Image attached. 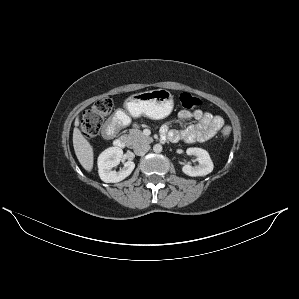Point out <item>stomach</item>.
Instances as JSON below:
<instances>
[{
    "instance_id": "stomach-1",
    "label": "stomach",
    "mask_w": 299,
    "mask_h": 299,
    "mask_svg": "<svg viewBox=\"0 0 299 299\" xmlns=\"http://www.w3.org/2000/svg\"><path fill=\"white\" fill-rule=\"evenodd\" d=\"M125 108L133 117L146 115L151 119H163L173 109V96L166 89H155L130 96Z\"/></svg>"
}]
</instances>
